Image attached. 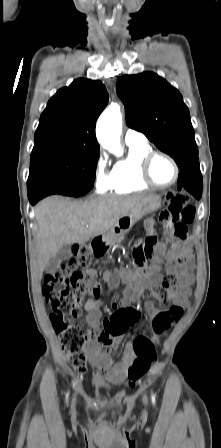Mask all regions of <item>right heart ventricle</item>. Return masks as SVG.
Wrapping results in <instances>:
<instances>
[{
  "label": "right heart ventricle",
  "mask_w": 221,
  "mask_h": 448,
  "mask_svg": "<svg viewBox=\"0 0 221 448\" xmlns=\"http://www.w3.org/2000/svg\"><path fill=\"white\" fill-rule=\"evenodd\" d=\"M151 151L148 143L128 145L127 156L113 167L109 189L114 193H130L150 188L142 180L141 161Z\"/></svg>",
  "instance_id": "obj_1"
}]
</instances>
